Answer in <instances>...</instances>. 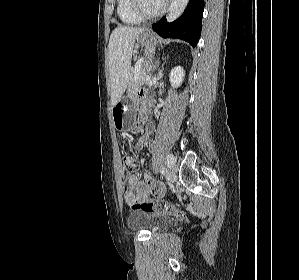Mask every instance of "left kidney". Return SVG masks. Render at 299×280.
<instances>
[{
	"instance_id": "obj_1",
	"label": "left kidney",
	"mask_w": 299,
	"mask_h": 280,
	"mask_svg": "<svg viewBox=\"0 0 299 280\" xmlns=\"http://www.w3.org/2000/svg\"><path fill=\"white\" fill-rule=\"evenodd\" d=\"M185 76V72L181 66L174 67L169 76L170 83L173 87H178L183 82V77Z\"/></svg>"
}]
</instances>
